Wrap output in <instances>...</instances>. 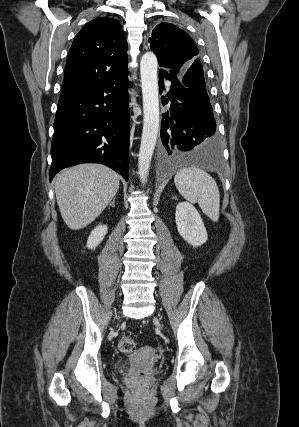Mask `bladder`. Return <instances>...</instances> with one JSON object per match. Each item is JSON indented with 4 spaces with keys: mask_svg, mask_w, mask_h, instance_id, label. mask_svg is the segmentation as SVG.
Wrapping results in <instances>:
<instances>
[{
    "mask_svg": "<svg viewBox=\"0 0 299 427\" xmlns=\"http://www.w3.org/2000/svg\"><path fill=\"white\" fill-rule=\"evenodd\" d=\"M131 364L125 359H117L113 362V370L117 373L123 372Z\"/></svg>",
    "mask_w": 299,
    "mask_h": 427,
    "instance_id": "31cf9c89",
    "label": "bladder"
}]
</instances>
